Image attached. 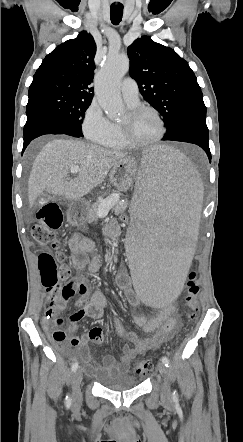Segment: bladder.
<instances>
[{
    "instance_id": "obj_1",
    "label": "bladder",
    "mask_w": 243,
    "mask_h": 442,
    "mask_svg": "<svg viewBox=\"0 0 243 442\" xmlns=\"http://www.w3.org/2000/svg\"><path fill=\"white\" fill-rule=\"evenodd\" d=\"M97 383L108 390L124 391L132 389L140 384V380L134 377L131 373L113 372L108 375L98 377Z\"/></svg>"
}]
</instances>
